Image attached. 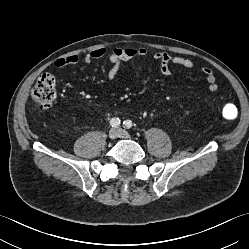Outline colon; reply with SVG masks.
<instances>
[{"mask_svg": "<svg viewBox=\"0 0 249 249\" xmlns=\"http://www.w3.org/2000/svg\"><path fill=\"white\" fill-rule=\"evenodd\" d=\"M33 101L43 109L51 107L56 98V81L52 74L45 73L39 77L33 90ZM222 115L225 119H232L236 115V107L228 104L223 108Z\"/></svg>", "mask_w": 249, "mask_h": 249, "instance_id": "colon-1", "label": "colon"}]
</instances>
